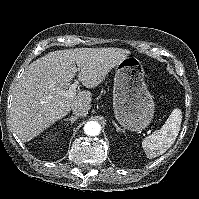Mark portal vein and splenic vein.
Instances as JSON below:
<instances>
[{"label": "portal vein and splenic vein", "instance_id": "18ae733b", "mask_svg": "<svg viewBox=\"0 0 199 199\" xmlns=\"http://www.w3.org/2000/svg\"><path fill=\"white\" fill-rule=\"evenodd\" d=\"M79 82L76 80L73 84L70 85L69 89L66 91V95L68 96H75L76 95V88L78 87Z\"/></svg>", "mask_w": 199, "mask_h": 199}]
</instances>
